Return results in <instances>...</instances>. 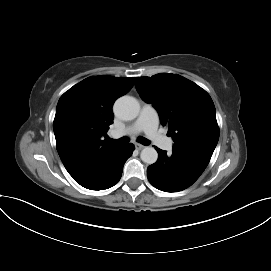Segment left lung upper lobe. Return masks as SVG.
<instances>
[{
	"mask_svg": "<svg viewBox=\"0 0 271 271\" xmlns=\"http://www.w3.org/2000/svg\"><path fill=\"white\" fill-rule=\"evenodd\" d=\"M135 86L143 101L153 104L173 149L211 157L219 139L214 103L194 82L177 74L136 77Z\"/></svg>",
	"mask_w": 271,
	"mask_h": 271,
	"instance_id": "5c2ea615",
	"label": "left lung upper lobe"
}]
</instances>
